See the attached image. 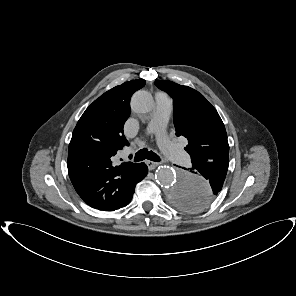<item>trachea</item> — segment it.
<instances>
[{
  "instance_id": "obj_1",
  "label": "trachea",
  "mask_w": 296,
  "mask_h": 296,
  "mask_svg": "<svg viewBox=\"0 0 296 296\" xmlns=\"http://www.w3.org/2000/svg\"><path fill=\"white\" fill-rule=\"evenodd\" d=\"M145 159L155 161V162L160 161V157L156 153H154L153 151H148V149L146 148H143L135 154L134 161L139 162Z\"/></svg>"
}]
</instances>
